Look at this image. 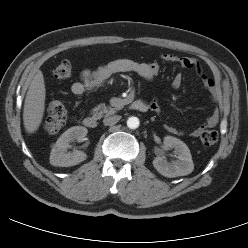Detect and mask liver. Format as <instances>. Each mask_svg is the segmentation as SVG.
<instances>
[{
    "instance_id": "liver-1",
    "label": "liver",
    "mask_w": 248,
    "mask_h": 248,
    "mask_svg": "<svg viewBox=\"0 0 248 248\" xmlns=\"http://www.w3.org/2000/svg\"><path fill=\"white\" fill-rule=\"evenodd\" d=\"M46 89L41 71L33 77L27 91L23 110V124L27 133H35L41 125L44 110Z\"/></svg>"
}]
</instances>
